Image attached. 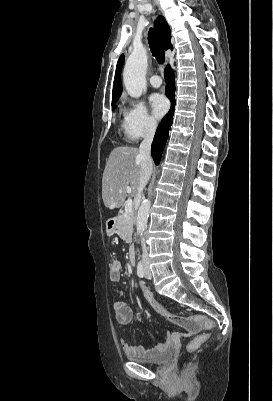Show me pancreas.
<instances>
[{
  "instance_id": "pancreas-1",
  "label": "pancreas",
  "mask_w": 273,
  "mask_h": 401,
  "mask_svg": "<svg viewBox=\"0 0 273 401\" xmlns=\"http://www.w3.org/2000/svg\"><path fill=\"white\" fill-rule=\"evenodd\" d=\"M133 219V213H120L119 217H117V233L119 237L123 239V241H126V243H130V241H132Z\"/></svg>"
}]
</instances>
